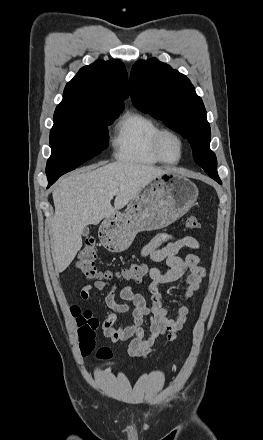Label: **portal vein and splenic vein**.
<instances>
[{"label":"portal vein and splenic vein","mask_w":263,"mask_h":440,"mask_svg":"<svg viewBox=\"0 0 263 440\" xmlns=\"http://www.w3.org/2000/svg\"><path fill=\"white\" fill-rule=\"evenodd\" d=\"M114 195H116V192L111 193V194H110V198H113Z\"/></svg>","instance_id":"obj_1"}]
</instances>
